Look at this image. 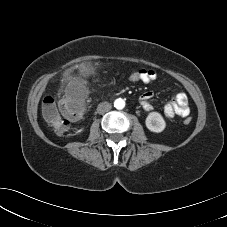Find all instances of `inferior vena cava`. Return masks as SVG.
<instances>
[{
  "instance_id": "602c4592",
  "label": "inferior vena cava",
  "mask_w": 227,
  "mask_h": 227,
  "mask_svg": "<svg viewBox=\"0 0 227 227\" xmlns=\"http://www.w3.org/2000/svg\"><path fill=\"white\" fill-rule=\"evenodd\" d=\"M112 108L111 103L109 102H101L98 107H97V112L99 114H105L107 112H109Z\"/></svg>"
}]
</instances>
